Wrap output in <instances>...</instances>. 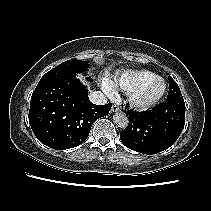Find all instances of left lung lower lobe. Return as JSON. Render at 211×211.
<instances>
[{
    "instance_id": "0a47b994",
    "label": "left lung lower lobe",
    "mask_w": 211,
    "mask_h": 211,
    "mask_svg": "<svg viewBox=\"0 0 211 211\" xmlns=\"http://www.w3.org/2000/svg\"><path fill=\"white\" fill-rule=\"evenodd\" d=\"M129 124L120 133L121 142L128 148L156 154L172 146L185 125L183 97L170 98L150 111H129Z\"/></svg>"
}]
</instances>
